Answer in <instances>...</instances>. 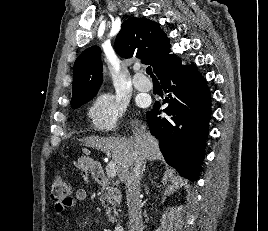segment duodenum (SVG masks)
<instances>
[{
  "instance_id": "1",
  "label": "duodenum",
  "mask_w": 268,
  "mask_h": 231,
  "mask_svg": "<svg viewBox=\"0 0 268 231\" xmlns=\"http://www.w3.org/2000/svg\"><path fill=\"white\" fill-rule=\"evenodd\" d=\"M94 178L96 181H98L101 184L109 183V179L106 173L102 169H98L95 171ZM114 231H124V227L122 225H118L115 227Z\"/></svg>"
}]
</instances>
